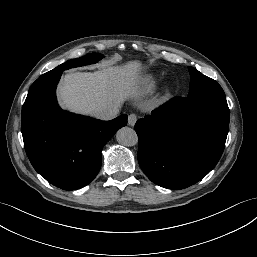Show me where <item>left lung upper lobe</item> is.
<instances>
[{"instance_id":"1","label":"left lung upper lobe","mask_w":257,"mask_h":257,"mask_svg":"<svg viewBox=\"0 0 257 257\" xmlns=\"http://www.w3.org/2000/svg\"><path fill=\"white\" fill-rule=\"evenodd\" d=\"M188 68L191 76L188 97H225L223 89L215 80L203 75L201 72H199L193 67L189 66Z\"/></svg>"}]
</instances>
